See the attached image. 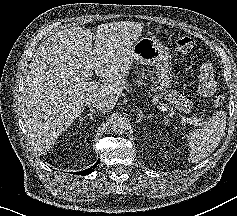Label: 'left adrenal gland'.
<instances>
[{"label":"left adrenal gland","mask_w":237,"mask_h":216,"mask_svg":"<svg viewBox=\"0 0 237 216\" xmlns=\"http://www.w3.org/2000/svg\"><path fill=\"white\" fill-rule=\"evenodd\" d=\"M139 114L137 115V120L136 122H141L142 119L146 118V116L143 114V112L141 110H138Z\"/></svg>","instance_id":"1"}]
</instances>
